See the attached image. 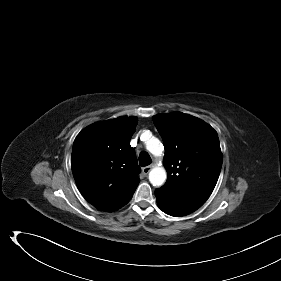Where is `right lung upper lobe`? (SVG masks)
Masks as SVG:
<instances>
[{
	"instance_id": "right-lung-upper-lobe-1",
	"label": "right lung upper lobe",
	"mask_w": 281,
	"mask_h": 281,
	"mask_svg": "<svg viewBox=\"0 0 281 281\" xmlns=\"http://www.w3.org/2000/svg\"><path fill=\"white\" fill-rule=\"evenodd\" d=\"M136 117L94 123L75 138L71 168L83 197L100 211H116L132 198L140 179L130 139Z\"/></svg>"
}]
</instances>
